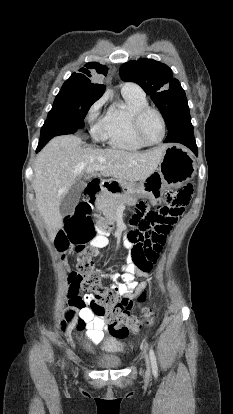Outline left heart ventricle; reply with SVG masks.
I'll list each match as a JSON object with an SVG mask.
<instances>
[{
  "mask_svg": "<svg viewBox=\"0 0 233 414\" xmlns=\"http://www.w3.org/2000/svg\"><path fill=\"white\" fill-rule=\"evenodd\" d=\"M142 131L145 137L151 142L158 141L161 138L162 124L157 114L151 112L143 118Z\"/></svg>",
  "mask_w": 233,
  "mask_h": 414,
  "instance_id": "obj_1",
  "label": "left heart ventricle"
}]
</instances>
